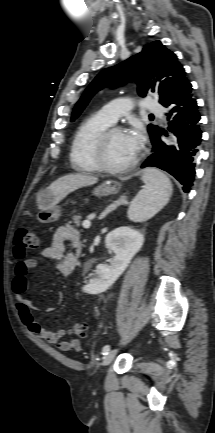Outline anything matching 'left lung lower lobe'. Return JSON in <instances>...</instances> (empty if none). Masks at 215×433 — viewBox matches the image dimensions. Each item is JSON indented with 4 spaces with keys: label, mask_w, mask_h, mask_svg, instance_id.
Segmentation results:
<instances>
[{
    "label": "left lung lower lobe",
    "mask_w": 215,
    "mask_h": 433,
    "mask_svg": "<svg viewBox=\"0 0 215 433\" xmlns=\"http://www.w3.org/2000/svg\"><path fill=\"white\" fill-rule=\"evenodd\" d=\"M161 104L169 109L167 119L171 133L158 130L151 138L153 154L141 167H157L170 173L183 185L184 192L188 193L194 181L202 131L197 101L186 77ZM161 134L168 140H162Z\"/></svg>",
    "instance_id": "obj_1"
}]
</instances>
